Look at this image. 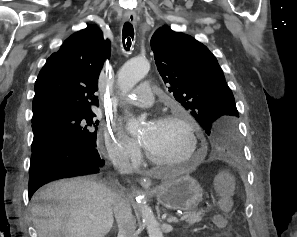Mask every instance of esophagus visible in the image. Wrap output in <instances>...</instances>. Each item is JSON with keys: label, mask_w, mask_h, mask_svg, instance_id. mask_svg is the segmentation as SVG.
Here are the masks:
<instances>
[{"label": "esophagus", "mask_w": 297, "mask_h": 237, "mask_svg": "<svg viewBox=\"0 0 297 237\" xmlns=\"http://www.w3.org/2000/svg\"><path fill=\"white\" fill-rule=\"evenodd\" d=\"M124 19L130 23H134L136 20V15L134 13H127L124 16ZM140 184L144 189H150L152 186V180L149 177H143L140 179Z\"/></svg>", "instance_id": "34e87169"}]
</instances>
